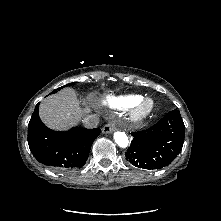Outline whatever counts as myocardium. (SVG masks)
Listing matches in <instances>:
<instances>
[{"instance_id": "obj_1", "label": "myocardium", "mask_w": 221, "mask_h": 221, "mask_svg": "<svg viewBox=\"0 0 221 221\" xmlns=\"http://www.w3.org/2000/svg\"><path fill=\"white\" fill-rule=\"evenodd\" d=\"M155 109L151 98H141L127 108V119L131 124L138 125L149 118Z\"/></svg>"}]
</instances>
